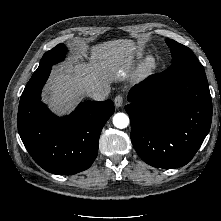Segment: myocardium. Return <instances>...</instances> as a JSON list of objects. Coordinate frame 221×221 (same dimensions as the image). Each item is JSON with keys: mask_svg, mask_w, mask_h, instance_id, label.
Masks as SVG:
<instances>
[{"mask_svg": "<svg viewBox=\"0 0 221 221\" xmlns=\"http://www.w3.org/2000/svg\"><path fill=\"white\" fill-rule=\"evenodd\" d=\"M157 66V59L154 55L150 54L144 58L142 61L139 72H138V79L144 80L149 77Z\"/></svg>", "mask_w": 221, "mask_h": 221, "instance_id": "f54148a6", "label": "myocardium"}]
</instances>
